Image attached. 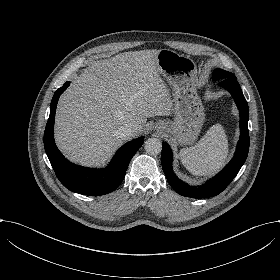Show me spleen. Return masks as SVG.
Returning <instances> with one entry per match:
<instances>
[{"instance_id": "3e777b00", "label": "spleen", "mask_w": 280, "mask_h": 280, "mask_svg": "<svg viewBox=\"0 0 280 280\" xmlns=\"http://www.w3.org/2000/svg\"><path fill=\"white\" fill-rule=\"evenodd\" d=\"M227 156L228 140L221 124L213 125L195 146L179 152L184 167L196 176L213 175L224 166Z\"/></svg>"}]
</instances>
